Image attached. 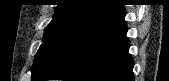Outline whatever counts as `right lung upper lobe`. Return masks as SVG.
<instances>
[{
  "instance_id": "cb5924a9",
  "label": "right lung upper lobe",
  "mask_w": 169,
  "mask_h": 81,
  "mask_svg": "<svg viewBox=\"0 0 169 81\" xmlns=\"http://www.w3.org/2000/svg\"><path fill=\"white\" fill-rule=\"evenodd\" d=\"M122 6L114 0H62L56 8L54 19L81 18L89 22Z\"/></svg>"
}]
</instances>
